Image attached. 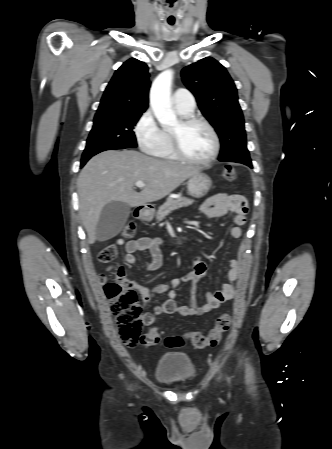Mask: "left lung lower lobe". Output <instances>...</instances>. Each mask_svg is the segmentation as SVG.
Listing matches in <instances>:
<instances>
[{"instance_id": "1", "label": "left lung lower lobe", "mask_w": 332, "mask_h": 449, "mask_svg": "<svg viewBox=\"0 0 332 449\" xmlns=\"http://www.w3.org/2000/svg\"><path fill=\"white\" fill-rule=\"evenodd\" d=\"M247 166H249V167H251L252 168V163H249Z\"/></svg>"}]
</instances>
